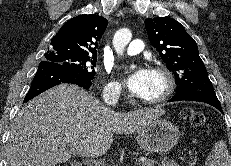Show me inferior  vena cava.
I'll use <instances>...</instances> for the list:
<instances>
[{"label": "inferior vena cava", "instance_id": "602c4592", "mask_svg": "<svg viewBox=\"0 0 231 166\" xmlns=\"http://www.w3.org/2000/svg\"><path fill=\"white\" fill-rule=\"evenodd\" d=\"M118 97V93H114L112 95H104L103 99L107 105L115 106L118 102Z\"/></svg>", "mask_w": 231, "mask_h": 166}]
</instances>
